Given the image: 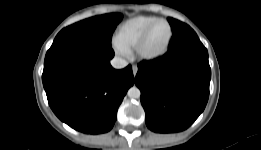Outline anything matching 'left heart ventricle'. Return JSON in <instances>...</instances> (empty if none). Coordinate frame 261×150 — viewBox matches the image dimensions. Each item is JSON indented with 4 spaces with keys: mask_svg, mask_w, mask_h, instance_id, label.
I'll return each instance as SVG.
<instances>
[{
    "mask_svg": "<svg viewBox=\"0 0 261 150\" xmlns=\"http://www.w3.org/2000/svg\"><path fill=\"white\" fill-rule=\"evenodd\" d=\"M169 27L167 24L160 22L151 30L146 42L145 49L148 53H157L161 51L168 40Z\"/></svg>",
    "mask_w": 261,
    "mask_h": 150,
    "instance_id": "obj_1",
    "label": "left heart ventricle"
}]
</instances>
